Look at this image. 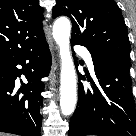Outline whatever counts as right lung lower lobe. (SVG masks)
I'll list each match as a JSON object with an SVG mask.
<instances>
[{
	"label": "right lung lower lobe",
	"mask_w": 136,
	"mask_h": 136,
	"mask_svg": "<svg viewBox=\"0 0 136 136\" xmlns=\"http://www.w3.org/2000/svg\"><path fill=\"white\" fill-rule=\"evenodd\" d=\"M22 65L19 69L16 66ZM51 68L45 36L14 56L0 59V131L40 136L43 83ZM24 75L28 84L17 90L15 79Z\"/></svg>",
	"instance_id": "obj_1"
}]
</instances>
